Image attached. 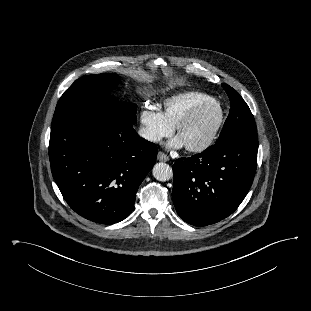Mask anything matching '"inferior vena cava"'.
<instances>
[{"label": "inferior vena cava", "mask_w": 311, "mask_h": 311, "mask_svg": "<svg viewBox=\"0 0 311 311\" xmlns=\"http://www.w3.org/2000/svg\"><path fill=\"white\" fill-rule=\"evenodd\" d=\"M138 134L148 140V141H159L160 137L158 135H156L155 133H153L150 129L146 128V127H142L139 129Z\"/></svg>", "instance_id": "inferior-vena-cava-1"}]
</instances>
